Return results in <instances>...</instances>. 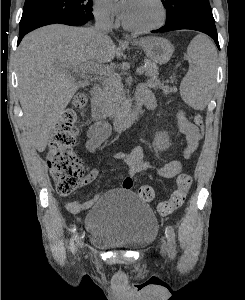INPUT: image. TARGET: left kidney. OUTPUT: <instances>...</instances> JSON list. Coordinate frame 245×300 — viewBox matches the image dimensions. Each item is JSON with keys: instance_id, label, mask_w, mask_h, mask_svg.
<instances>
[{"instance_id": "left-kidney-1", "label": "left kidney", "mask_w": 245, "mask_h": 300, "mask_svg": "<svg viewBox=\"0 0 245 300\" xmlns=\"http://www.w3.org/2000/svg\"><path fill=\"white\" fill-rule=\"evenodd\" d=\"M157 143L159 145V148H161V149L166 148L168 146V139H167L166 135L165 134H161L157 138Z\"/></svg>"}]
</instances>
